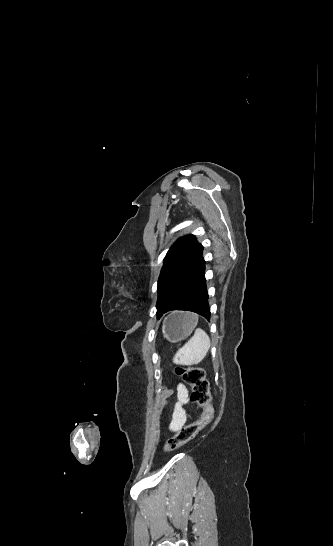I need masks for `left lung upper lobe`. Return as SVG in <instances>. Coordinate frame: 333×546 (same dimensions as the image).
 I'll list each match as a JSON object with an SVG mask.
<instances>
[{"instance_id":"1","label":"left lung upper lobe","mask_w":333,"mask_h":546,"mask_svg":"<svg viewBox=\"0 0 333 546\" xmlns=\"http://www.w3.org/2000/svg\"><path fill=\"white\" fill-rule=\"evenodd\" d=\"M203 247L194 235L178 239L168 251L158 280L157 316L166 299V293L177 275L202 252Z\"/></svg>"}]
</instances>
